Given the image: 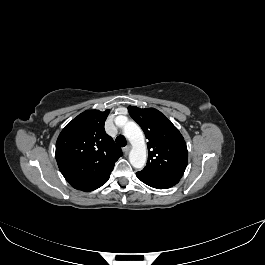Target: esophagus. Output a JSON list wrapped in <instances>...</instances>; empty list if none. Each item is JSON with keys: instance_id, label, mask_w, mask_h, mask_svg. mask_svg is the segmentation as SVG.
Segmentation results:
<instances>
[{"instance_id": "1", "label": "esophagus", "mask_w": 265, "mask_h": 265, "mask_svg": "<svg viewBox=\"0 0 265 265\" xmlns=\"http://www.w3.org/2000/svg\"><path fill=\"white\" fill-rule=\"evenodd\" d=\"M131 149V146L130 145H127L125 148H124V151L125 153H128Z\"/></svg>"}]
</instances>
